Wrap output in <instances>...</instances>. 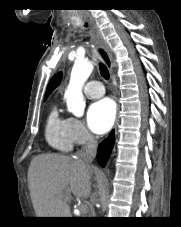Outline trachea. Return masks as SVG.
<instances>
[{"label":"trachea","instance_id":"3493384b","mask_svg":"<svg viewBox=\"0 0 181 227\" xmlns=\"http://www.w3.org/2000/svg\"><path fill=\"white\" fill-rule=\"evenodd\" d=\"M99 67H100V73H101V75L105 79H108L109 78V71H108L107 67L104 64H102V63H100Z\"/></svg>","mask_w":181,"mask_h":227}]
</instances>
